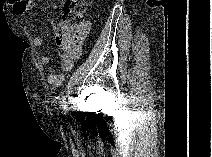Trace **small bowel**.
Segmentation results:
<instances>
[{
  "instance_id": "1",
  "label": "small bowel",
  "mask_w": 212,
  "mask_h": 157,
  "mask_svg": "<svg viewBox=\"0 0 212 157\" xmlns=\"http://www.w3.org/2000/svg\"><path fill=\"white\" fill-rule=\"evenodd\" d=\"M10 3L14 13L18 16L24 15L30 6V3L28 0H10ZM88 29H89V22L86 21L81 29V36H80V39L75 44L74 51L65 52L64 54L61 55L60 66L63 72H68L73 68L75 60L80 55L81 45L87 35ZM67 30H68V27L65 22H60L58 24V27L56 29V35H55L56 43H57L58 35ZM33 43H34V46L40 47L44 43V39L42 37H35L33 40ZM39 63L42 67L48 66L50 64V56L47 54L41 55L39 59ZM63 80H64V75L57 74L55 72L49 73L47 77V81L49 85L52 87H59L62 84Z\"/></svg>"
}]
</instances>
